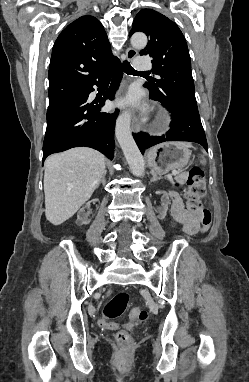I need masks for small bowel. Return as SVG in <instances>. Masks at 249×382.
<instances>
[{
    "label": "small bowel",
    "instance_id": "obj_1",
    "mask_svg": "<svg viewBox=\"0 0 249 382\" xmlns=\"http://www.w3.org/2000/svg\"><path fill=\"white\" fill-rule=\"evenodd\" d=\"M171 200L172 224L182 226L183 231L188 235L196 234L199 230L201 213L184 208L182 200L177 194H172Z\"/></svg>",
    "mask_w": 249,
    "mask_h": 382
}]
</instances>
